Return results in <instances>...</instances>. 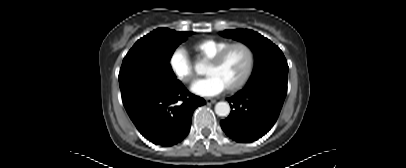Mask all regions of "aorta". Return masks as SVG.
<instances>
[{"label": "aorta", "instance_id": "aorta-1", "mask_svg": "<svg viewBox=\"0 0 406 168\" xmlns=\"http://www.w3.org/2000/svg\"><path fill=\"white\" fill-rule=\"evenodd\" d=\"M204 65L202 63H197L195 65V70L197 73H202ZM215 113L218 116H228L230 113V105L227 102H218L215 105Z\"/></svg>", "mask_w": 406, "mask_h": 168}]
</instances>
